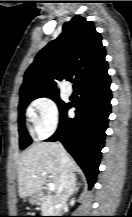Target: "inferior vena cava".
I'll return each instance as SVG.
<instances>
[{
    "label": "inferior vena cava",
    "mask_w": 132,
    "mask_h": 217,
    "mask_svg": "<svg viewBox=\"0 0 132 217\" xmlns=\"http://www.w3.org/2000/svg\"><path fill=\"white\" fill-rule=\"evenodd\" d=\"M59 155H60L61 181H60V186L56 193V200H55V203L59 206L57 208V213H60V207H62L65 204V201L71 194L72 185L75 178L71 170L69 155L67 154L66 150L64 149L61 143H59Z\"/></svg>",
    "instance_id": "inferior-vena-cava-1"
}]
</instances>
